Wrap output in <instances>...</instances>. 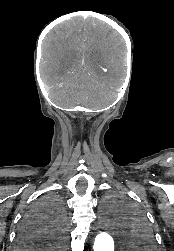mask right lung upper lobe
<instances>
[{
    "label": "right lung upper lobe",
    "mask_w": 174,
    "mask_h": 251,
    "mask_svg": "<svg viewBox=\"0 0 174 251\" xmlns=\"http://www.w3.org/2000/svg\"><path fill=\"white\" fill-rule=\"evenodd\" d=\"M46 247H48V246H46V244H45L43 247H38V246H36V247H34V248H37V249H39V250H42V249H44V248H46Z\"/></svg>",
    "instance_id": "cb5924a9"
}]
</instances>
